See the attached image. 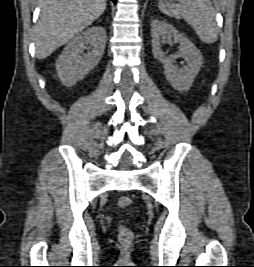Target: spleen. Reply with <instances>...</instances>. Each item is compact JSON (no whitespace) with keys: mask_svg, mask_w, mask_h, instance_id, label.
<instances>
[{"mask_svg":"<svg viewBox=\"0 0 254 267\" xmlns=\"http://www.w3.org/2000/svg\"><path fill=\"white\" fill-rule=\"evenodd\" d=\"M169 3L159 0V9L165 15L184 19L196 32L199 39L211 44L218 39L216 14L210 0H176Z\"/></svg>","mask_w":254,"mask_h":267,"instance_id":"1","label":"spleen"}]
</instances>
